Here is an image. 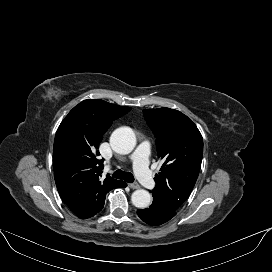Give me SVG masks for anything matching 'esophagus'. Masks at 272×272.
Returning a JSON list of instances; mask_svg holds the SVG:
<instances>
[{"label":"esophagus","instance_id":"34e87169","mask_svg":"<svg viewBox=\"0 0 272 272\" xmlns=\"http://www.w3.org/2000/svg\"><path fill=\"white\" fill-rule=\"evenodd\" d=\"M128 186L131 188V189H138L140 186L138 183L134 182V183H129Z\"/></svg>","mask_w":272,"mask_h":272}]
</instances>
